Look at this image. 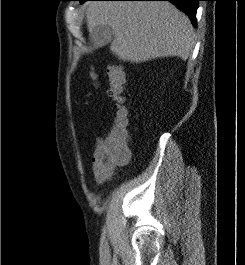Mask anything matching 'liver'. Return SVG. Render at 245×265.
<instances>
[{
  "mask_svg": "<svg viewBox=\"0 0 245 265\" xmlns=\"http://www.w3.org/2000/svg\"><path fill=\"white\" fill-rule=\"evenodd\" d=\"M87 26L108 25L114 31L110 49L133 63L177 56L188 59L194 47L189 18L166 1H92Z\"/></svg>",
  "mask_w": 245,
  "mask_h": 265,
  "instance_id": "6515ba94",
  "label": "liver"
}]
</instances>
